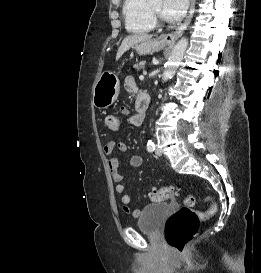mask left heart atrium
<instances>
[{"mask_svg":"<svg viewBox=\"0 0 261 273\" xmlns=\"http://www.w3.org/2000/svg\"><path fill=\"white\" fill-rule=\"evenodd\" d=\"M188 7V0H163V17L169 21H177L183 17Z\"/></svg>","mask_w":261,"mask_h":273,"instance_id":"1","label":"left heart atrium"}]
</instances>
